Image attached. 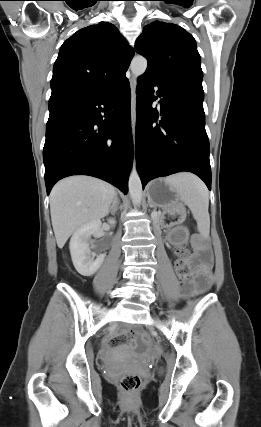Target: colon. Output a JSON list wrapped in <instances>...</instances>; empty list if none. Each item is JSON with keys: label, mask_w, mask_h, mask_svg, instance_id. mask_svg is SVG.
<instances>
[{"label": "colon", "mask_w": 261, "mask_h": 427, "mask_svg": "<svg viewBox=\"0 0 261 427\" xmlns=\"http://www.w3.org/2000/svg\"><path fill=\"white\" fill-rule=\"evenodd\" d=\"M177 254L180 256H183L186 254V250L183 248H179L177 250ZM177 268H178L179 272L181 273L182 277L186 278V276H187L186 266H185V263L182 259L178 260ZM135 334L138 337L140 343H142L144 345L148 344V338L146 337V335L142 331L136 330ZM141 382H142V380H141L140 376H138L136 374H128V375H125L121 378L120 387L126 395L131 396L139 390V388L141 386Z\"/></svg>", "instance_id": "5ec220e1"}]
</instances>
